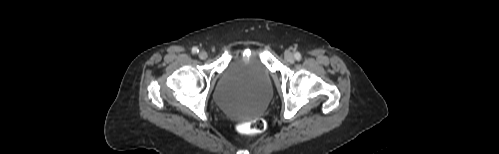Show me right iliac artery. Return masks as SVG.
<instances>
[{
    "instance_id": "right-iliac-artery-1",
    "label": "right iliac artery",
    "mask_w": 499,
    "mask_h": 154,
    "mask_svg": "<svg viewBox=\"0 0 499 154\" xmlns=\"http://www.w3.org/2000/svg\"><path fill=\"white\" fill-rule=\"evenodd\" d=\"M199 52V49L197 47L192 48V53L197 54Z\"/></svg>"
}]
</instances>
